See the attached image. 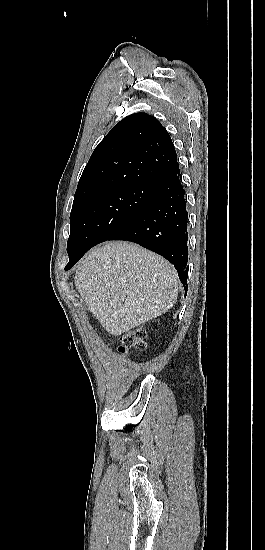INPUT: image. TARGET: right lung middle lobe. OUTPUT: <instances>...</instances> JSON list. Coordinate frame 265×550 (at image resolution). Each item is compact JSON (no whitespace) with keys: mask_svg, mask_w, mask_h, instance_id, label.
<instances>
[{"mask_svg":"<svg viewBox=\"0 0 265 550\" xmlns=\"http://www.w3.org/2000/svg\"><path fill=\"white\" fill-rule=\"evenodd\" d=\"M157 186L119 188L73 203L66 267H72L90 248L131 224L147 207Z\"/></svg>","mask_w":265,"mask_h":550,"instance_id":"dd1d6c3e","label":"right lung middle lobe"}]
</instances>
